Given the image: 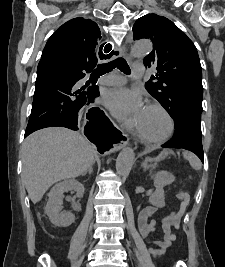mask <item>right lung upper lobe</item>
Instances as JSON below:
<instances>
[{
  "mask_svg": "<svg viewBox=\"0 0 225 267\" xmlns=\"http://www.w3.org/2000/svg\"><path fill=\"white\" fill-rule=\"evenodd\" d=\"M100 39V29L94 21L74 18L53 33L41 57H62L91 72L97 64V58L102 55V49L98 53Z\"/></svg>",
  "mask_w": 225,
  "mask_h": 267,
  "instance_id": "right-lung-upper-lobe-1",
  "label": "right lung upper lobe"
}]
</instances>
